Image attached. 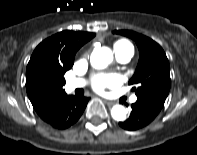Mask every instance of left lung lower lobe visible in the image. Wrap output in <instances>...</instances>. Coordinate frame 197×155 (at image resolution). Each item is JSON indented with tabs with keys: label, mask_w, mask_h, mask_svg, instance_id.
I'll use <instances>...</instances> for the list:
<instances>
[{
	"label": "left lung lower lobe",
	"mask_w": 197,
	"mask_h": 155,
	"mask_svg": "<svg viewBox=\"0 0 197 155\" xmlns=\"http://www.w3.org/2000/svg\"><path fill=\"white\" fill-rule=\"evenodd\" d=\"M132 112L129 119L119 122V125L126 130H137L148 125L160 112L147 103L137 100L131 105Z\"/></svg>",
	"instance_id": "1"
}]
</instances>
